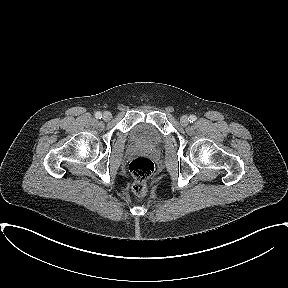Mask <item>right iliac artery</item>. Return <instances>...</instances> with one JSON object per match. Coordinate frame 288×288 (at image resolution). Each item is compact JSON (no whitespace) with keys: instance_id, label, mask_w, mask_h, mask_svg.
Returning <instances> with one entry per match:
<instances>
[{"instance_id":"obj_1","label":"right iliac artery","mask_w":288,"mask_h":288,"mask_svg":"<svg viewBox=\"0 0 288 288\" xmlns=\"http://www.w3.org/2000/svg\"><path fill=\"white\" fill-rule=\"evenodd\" d=\"M95 117H96L97 119H101V118H102L101 112H96V113H95Z\"/></svg>"}]
</instances>
